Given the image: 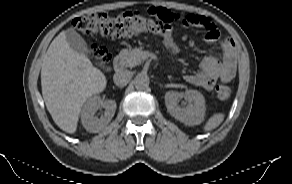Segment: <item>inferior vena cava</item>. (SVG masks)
<instances>
[{
    "label": "inferior vena cava",
    "instance_id": "inferior-vena-cava-1",
    "mask_svg": "<svg viewBox=\"0 0 292 184\" xmlns=\"http://www.w3.org/2000/svg\"><path fill=\"white\" fill-rule=\"evenodd\" d=\"M132 78V73L128 70H122L114 74L113 81L119 87H124Z\"/></svg>",
    "mask_w": 292,
    "mask_h": 184
}]
</instances>
